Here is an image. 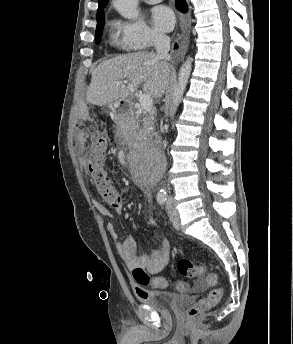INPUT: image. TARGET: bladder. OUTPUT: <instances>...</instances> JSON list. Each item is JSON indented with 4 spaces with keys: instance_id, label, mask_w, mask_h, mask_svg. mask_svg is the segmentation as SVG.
<instances>
[{
    "instance_id": "obj_1",
    "label": "bladder",
    "mask_w": 293,
    "mask_h": 344,
    "mask_svg": "<svg viewBox=\"0 0 293 344\" xmlns=\"http://www.w3.org/2000/svg\"><path fill=\"white\" fill-rule=\"evenodd\" d=\"M140 299L143 304L161 311H170L178 304L188 300L186 296L178 293L157 290H146Z\"/></svg>"
}]
</instances>
